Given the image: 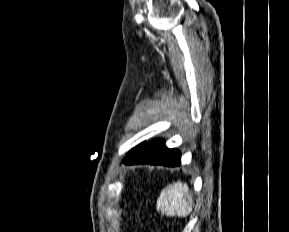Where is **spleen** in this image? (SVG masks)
<instances>
[{
    "label": "spleen",
    "instance_id": "obj_1",
    "mask_svg": "<svg viewBox=\"0 0 289 232\" xmlns=\"http://www.w3.org/2000/svg\"><path fill=\"white\" fill-rule=\"evenodd\" d=\"M157 209L166 216L186 217L193 209L191 191L181 181L167 185L157 200Z\"/></svg>",
    "mask_w": 289,
    "mask_h": 232
}]
</instances>
